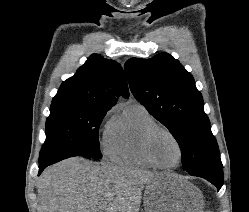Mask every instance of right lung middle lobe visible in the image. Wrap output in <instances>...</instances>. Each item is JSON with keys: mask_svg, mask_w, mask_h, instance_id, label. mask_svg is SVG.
I'll use <instances>...</instances> for the list:
<instances>
[{"mask_svg": "<svg viewBox=\"0 0 249 212\" xmlns=\"http://www.w3.org/2000/svg\"><path fill=\"white\" fill-rule=\"evenodd\" d=\"M109 109L78 101H52L39 161L74 156L100 159L98 129Z\"/></svg>", "mask_w": 249, "mask_h": 212, "instance_id": "1", "label": "right lung middle lobe"}]
</instances>
